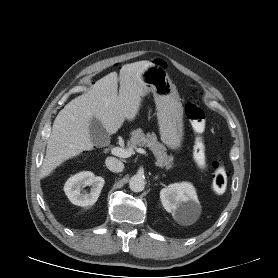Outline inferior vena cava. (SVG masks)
<instances>
[{"instance_id": "602c4592", "label": "inferior vena cava", "mask_w": 278, "mask_h": 278, "mask_svg": "<svg viewBox=\"0 0 278 278\" xmlns=\"http://www.w3.org/2000/svg\"><path fill=\"white\" fill-rule=\"evenodd\" d=\"M105 164L112 172H121L124 169V164L115 157H108Z\"/></svg>"}]
</instances>
